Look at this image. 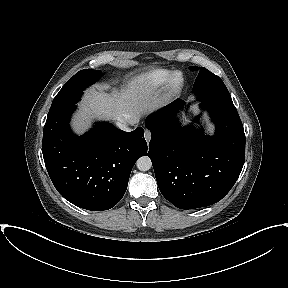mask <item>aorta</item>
Wrapping results in <instances>:
<instances>
[{
    "label": "aorta",
    "instance_id": "1",
    "mask_svg": "<svg viewBox=\"0 0 288 288\" xmlns=\"http://www.w3.org/2000/svg\"><path fill=\"white\" fill-rule=\"evenodd\" d=\"M136 166L140 171L144 172L152 167V162L148 156H142L137 160Z\"/></svg>",
    "mask_w": 288,
    "mask_h": 288
}]
</instances>
